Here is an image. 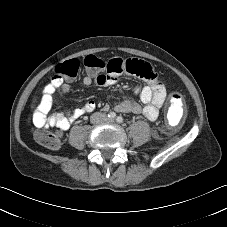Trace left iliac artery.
I'll use <instances>...</instances> for the list:
<instances>
[{
    "label": "left iliac artery",
    "mask_w": 227,
    "mask_h": 227,
    "mask_svg": "<svg viewBox=\"0 0 227 227\" xmlns=\"http://www.w3.org/2000/svg\"><path fill=\"white\" fill-rule=\"evenodd\" d=\"M123 117H121V116H118L117 118H116V122L117 123H122L123 122Z\"/></svg>",
    "instance_id": "left-iliac-artery-1"
}]
</instances>
